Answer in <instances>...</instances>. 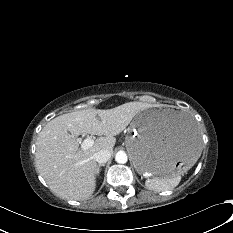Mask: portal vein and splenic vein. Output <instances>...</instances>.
Masks as SVG:
<instances>
[{
  "label": "portal vein and splenic vein",
  "mask_w": 233,
  "mask_h": 233,
  "mask_svg": "<svg viewBox=\"0 0 233 233\" xmlns=\"http://www.w3.org/2000/svg\"><path fill=\"white\" fill-rule=\"evenodd\" d=\"M93 144H94V140H93L92 138L88 137V138H86V139L82 142L81 148H82L83 150H87V149H89L90 147H92Z\"/></svg>",
  "instance_id": "18ae733b"
}]
</instances>
